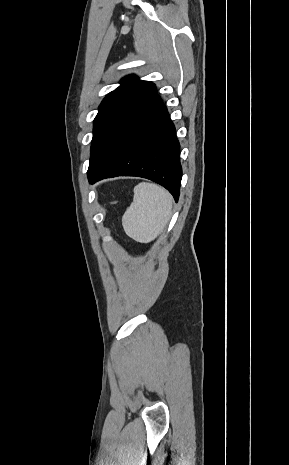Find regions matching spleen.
Segmentation results:
<instances>
[{
	"mask_svg": "<svg viewBox=\"0 0 289 465\" xmlns=\"http://www.w3.org/2000/svg\"><path fill=\"white\" fill-rule=\"evenodd\" d=\"M172 210V197L162 187L139 183L134 188L133 202L122 217L125 233L140 243L153 241L166 227Z\"/></svg>",
	"mask_w": 289,
	"mask_h": 465,
	"instance_id": "1",
	"label": "spleen"
}]
</instances>
